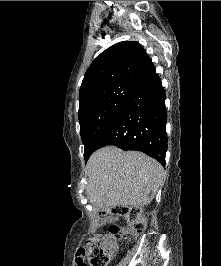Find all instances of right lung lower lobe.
<instances>
[{"label": "right lung lower lobe", "mask_w": 221, "mask_h": 266, "mask_svg": "<svg viewBox=\"0 0 221 266\" xmlns=\"http://www.w3.org/2000/svg\"><path fill=\"white\" fill-rule=\"evenodd\" d=\"M166 120L165 91L155 74L133 93L94 151L114 145L123 150L142 151L165 165Z\"/></svg>", "instance_id": "98d812e1"}]
</instances>
